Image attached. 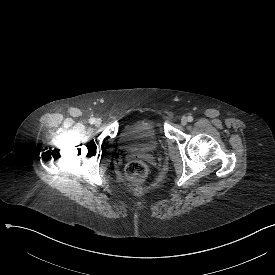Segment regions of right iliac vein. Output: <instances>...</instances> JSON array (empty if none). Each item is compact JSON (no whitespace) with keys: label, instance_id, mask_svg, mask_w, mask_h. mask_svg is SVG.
I'll list each match as a JSON object with an SVG mask.
<instances>
[{"label":"right iliac vein","instance_id":"obj_1","mask_svg":"<svg viewBox=\"0 0 275 275\" xmlns=\"http://www.w3.org/2000/svg\"><path fill=\"white\" fill-rule=\"evenodd\" d=\"M95 126H100L102 124V120L101 119H96L94 122Z\"/></svg>","mask_w":275,"mask_h":275}]
</instances>
